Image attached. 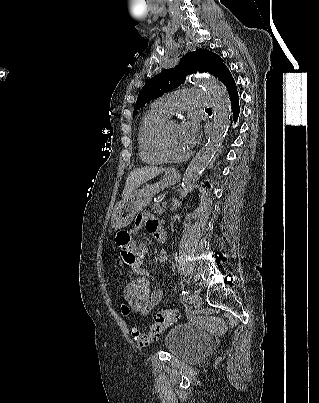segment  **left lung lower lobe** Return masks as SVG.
Listing matches in <instances>:
<instances>
[{"mask_svg": "<svg viewBox=\"0 0 319 403\" xmlns=\"http://www.w3.org/2000/svg\"><path fill=\"white\" fill-rule=\"evenodd\" d=\"M219 80L226 86L227 91L230 96V100L232 102V108H233V118L234 121H237V118L239 116V98H238V92L236 88V84L234 82V79L228 70V68H225L224 71L221 73ZM207 186H209L208 183H206Z\"/></svg>", "mask_w": 319, "mask_h": 403, "instance_id": "left-lung-lower-lobe-1", "label": "left lung lower lobe"}]
</instances>
